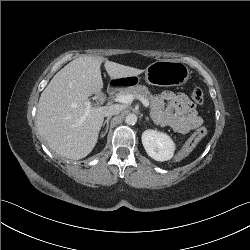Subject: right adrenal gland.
<instances>
[{
	"mask_svg": "<svg viewBox=\"0 0 250 250\" xmlns=\"http://www.w3.org/2000/svg\"><path fill=\"white\" fill-rule=\"evenodd\" d=\"M111 117H107V119L104 121V123L102 124V127H104L106 125L105 131L101 134V137H104L108 131L109 128V121H110Z\"/></svg>",
	"mask_w": 250,
	"mask_h": 250,
	"instance_id": "obj_1",
	"label": "right adrenal gland"
}]
</instances>
